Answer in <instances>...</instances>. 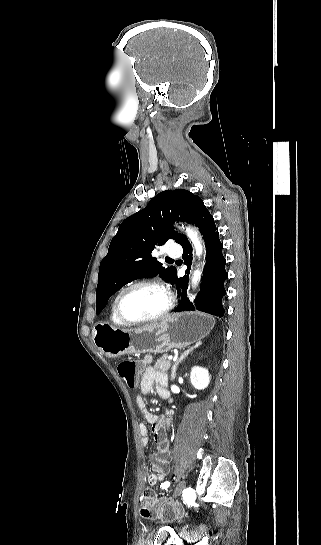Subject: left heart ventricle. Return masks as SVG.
Here are the masks:
<instances>
[{
  "label": "left heart ventricle",
  "instance_id": "b2bd125f",
  "mask_svg": "<svg viewBox=\"0 0 321 545\" xmlns=\"http://www.w3.org/2000/svg\"><path fill=\"white\" fill-rule=\"evenodd\" d=\"M167 306V298L161 291L136 288L121 299V311L130 321H138L161 313Z\"/></svg>",
  "mask_w": 321,
  "mask_h": 545
}]
</instances>
